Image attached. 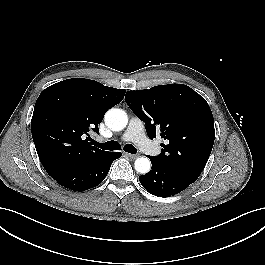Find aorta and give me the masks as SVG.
I'll return each instance as SVG.
<instances>
[{"mask_svg": "<svg viewBox=\"0 0 265 265\" xmlns=\"http://www.w3.org/2000/svg\"><path fill=\"white\" fill-rule=\"evenodd\" d=\"M105 123L113 131L124 129L128 123V117L125 111L121 109H110L105 114ZM135 170L140 174H146L150 171L151 163L146 157H140L135 160Z\"/></svg>", "mask_w": 265, "mask_h": 265, "instance_id": "762f6f07", "label": "aorta"}]
</instances>
